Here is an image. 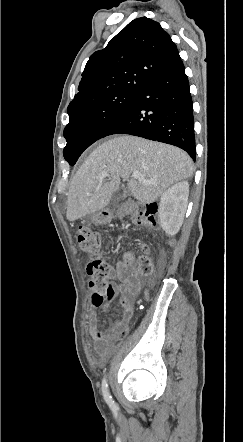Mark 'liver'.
<instances>
[{
	"label": "liver",
	"mask_w": 243,
	"mask_h": 442,
	"mask_svg": "<svg viewBox=\"0 0 243 442\" xmlns=\"http://www.w3.org/2000/svg\"><path fill=\"white\" fill-rule=\"evenodd\" d=\"M107 171L108 182L98 178ZM138 171L144 180L130 179L128 189L142 204L158 199L172 184L193 175V161L183 150L164 143L129 135L114 137L99 145L74 175L67 201L69 221L104 209L118 189L120 178Z\"/></svg>",
	"instance_id": "1"
}]
</instances>
